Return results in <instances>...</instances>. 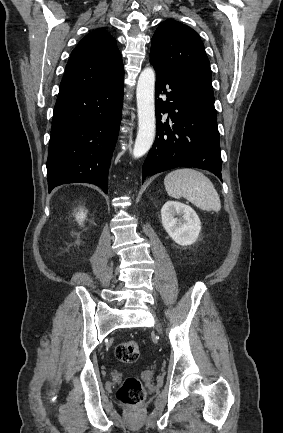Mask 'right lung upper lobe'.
<instances>
[{
	"instance_id": "right-lung-upper-lobe-1",
	"label": "right lung upper lobe",
	"mask_w": 283,
	"mask_h": 433,
	"mask_svg": "<svg viewBox=\"0 0 283 433\" xmlns=\"http://www.w3.org/2000/svg\"><path fill=\"white\" fill-rule=\"evenodd\" d=\"M124 76L122 56L116 40L103 29L86 35L72 51L59 95H67L110 84Z\"/></svg>"
}]
</instances>
